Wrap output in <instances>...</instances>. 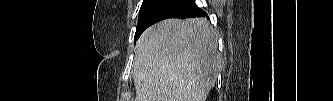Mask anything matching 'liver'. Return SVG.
Masks as SVG:
<instances>
[{"label": "liver", "instance_id": "obj_1", "mask_svg": "<svg viewBox=\"0 0 333 101\" xmlns=\"http://www.w3.org/2000/svg\"><path fill=\"white\" fill-rule=\"evenodd\" d=\"M221 67L215 30L205 18L167 19L135 48V101H206Z\"/></svg>", "mask_w": 333, "mask_h": 101}]
</instances>
